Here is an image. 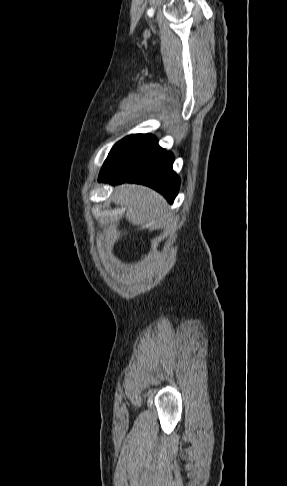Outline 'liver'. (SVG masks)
Returning a JSON list of instances; mask_svg holds the SVG:
<instances>
[{
  "label": "liver",
  "instance_id": "1",
  "mask_svg": "<svg viewBox=\"0 0 287 486\" xmlns=\"http://www.w3.org/2000/svg\"><path fill=\"white\" fill-rule=\"evenodd\" d=\"M113 202L125 206L126 220L132 225H145L155 219L165 217L167 202L156 191L136 184H122L115 187ZM157 223L150 226V230L156 228Z\"/></svg>",
  "mask_w": 287,
  "mask_h": 486
}]
</instances>
